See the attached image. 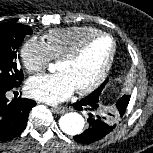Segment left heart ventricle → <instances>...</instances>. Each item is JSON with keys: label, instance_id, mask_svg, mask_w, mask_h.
Instances as JSON below:
<instances>
[{"label": "left heart ventricle", "instance_id": "1", "mask_svg": "<svg viewBox=\"0 0 153 153\" xmlns=\"http://www.w3.org/2000/svg\"><path fill=\"white\" fill-rule=\"evenodd\" d=\"M111 50V40L99 38L91 42L75 61L58 62L56 69L68 76L74 89L86 87L101 73Z\"/></svg>", "mask_w": 153, "mask_h": 153}]
</instances>
